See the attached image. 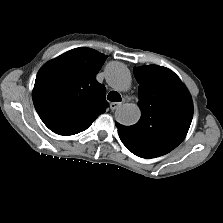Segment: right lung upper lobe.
<instances>
[{"label": "right lung upper lobe", "instance_id": "obj_1", "mask_svg": "<svg viewBox=\"0 0 223 223\" xmlns=\"http://www.w3.org/2000/svg\"><path fill=\"white\" fill-rule=\"evenodd\" d=\"M107 56L76 48L46 63L38 72L33 103L44 124L59 135L86 130L105 112L106 89L96 74Z\"/></svg>", "mask_w": 223, "mask_h": 223}]
</instances>
